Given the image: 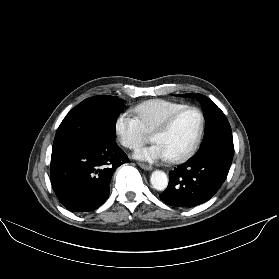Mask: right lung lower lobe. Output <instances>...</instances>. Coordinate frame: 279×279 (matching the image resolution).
Wrapping results in <instances>:
<instances>
[{"mask_svg":"<svg viewBox=\"0 0 279 279\" xmlns=\"http://www.w3.org/2000/svg\"><path fill=\"white\" fill-rule=\"evenodd\" d=\"M128 158L115 139L78 149L52 151L50 178L59 201L70 211L97 209L109 196L113 172Z\"/></svg>","mask_w":279,"mask_h":279,"instance_id":"1","label":"right lung lower lobe"}]
</instances>
